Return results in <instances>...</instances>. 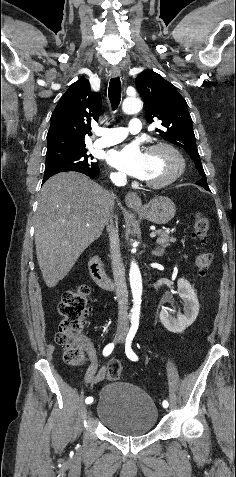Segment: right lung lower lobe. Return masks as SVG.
<instances>
[{
	"label": "right lung lower lobe",
	"instance_id": "obj_1",
	"mask_svg": "<svg viewBox=\"0 0 236 477\" xmlns=\"http://www.w3.org/2000/svg\"><path fill=\"white\" fill-rule=\"evenodd\" d=\"M78 172L83 173V174H85V175H87L91 178H95L99 174L100 169H97L94 173H86V172H82V171H78ZM50 177H51L50 175L49 176H44L43 183Z\"/></svg>",
	"mask_w": 236,
	"mask_h": 477
}]
</instances>
